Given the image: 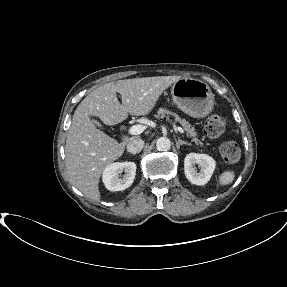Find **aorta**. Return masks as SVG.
<instances>
[{"instance_id": "obj_1", "label": "aorta", "mask_w": 287, "mask_h": 287, "mask_svg": "<svg viewBox=\"0 0 287 287\" xmlns=\"http://www.w3.org/2000/svg\"><path fill=\"white\" fill-rule=\"evenodd\" d=\"M156 147L159 151H168L171 147V141L167 137H160L156 141Z\"/></svg>"}]
</instances>
